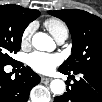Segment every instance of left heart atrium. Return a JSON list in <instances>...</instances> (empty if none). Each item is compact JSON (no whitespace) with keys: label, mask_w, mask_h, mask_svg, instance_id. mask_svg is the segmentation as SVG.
<instances>
[{"label":"left heart atrium","mask_w":102,"mask_h":102,"mask_svg":"<svg viewBox=\"0 0 102 102\" xmlns=\"http://www.w3.org/2000/svg\"><path fill=\"white\" fill-rule=\"evenodd\" d=\"M60 62L61 58L57 54L34 52L28 57L30 67L42 74L50 73Z\"/></svg>","instance_id":"39dd6f15"}]
</instances>
